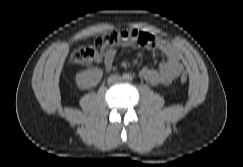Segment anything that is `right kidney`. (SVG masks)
<instances>
[{"mask_svg":"<svg viewBox=\"0 0 243 167\" xmlns=\"http://www.w3.org/2000/svg\"><path fill=\"white\" fill-rule=\"evenodd\" d=\"M103 72L98 68H91L76 75V84L79 89H89L95 87L102 78Z\"/></svg>","mask_w":243,"mask_h":167,"instance_id":"1","label":"right kidney"}]
</instances>
